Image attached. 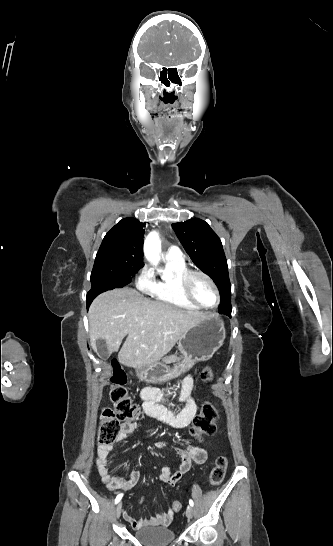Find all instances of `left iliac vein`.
Here are the masks:
<instances>
[{
  "instance_id": "obj_1",
  "label": "left iliac vein",
  "mask_w": 333,
  "mask_h": 546,
  "mask_svg": "<svg viewBox=\"0 0 333 546\" xmlns=\"http://www.w3.org/2000/svg\"><path fill=\"white\" fill-rule=\"evenodd\" d=\"M186 516H187L188 518H192V516H193V508H192V506H188V507H187V509H186Z\"/></svg>"
}]
</instances>
